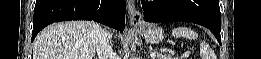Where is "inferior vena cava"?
Instances as JSON below:
<instances>
[{
	"label": "inferior vena cava",
	"mask_w": 261,
	"mask_h": 59,
	"mask_svg": "<svg viewBox=\"0 0 261 59\" xmlns=\"http://www.w3.org/2000/svg\"><path fill=\"white\" fill-rule=\"evenodd\" d=\"M93 37L98 59H117L109 41V34L99 24L94 25Z\"/></svg>",
	"instance_id": "inferior-vena-cava-1"
}]
</instances>
